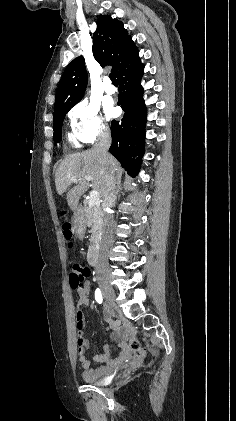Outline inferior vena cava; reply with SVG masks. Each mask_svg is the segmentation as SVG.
<instances>
[{
  "mask_svg": "<svg viewBox=\"0 0 236 421\" xmlns=\"http://www.w3.org/2000/svg\"><path fill=\"white\" fill-rule=\"evenodd\" d=\"M111 144V132L109 128H106V126H99V132L97 136V142L94 144V148L100 152L103 160H106L108 156V148ZM115 172H113L107 186L106 190L104 192L103 196V206L105 208H112L115 204L116 200V194H115ZM104 223H105V229H104V235L103 239L101 241V247H100V253H99V259H98V265L96 267L97 273H105L107 271L108 267V259L105 255L106 249L110 247L113 239V217L111 213H107V211H104Z\"/></svg>",
  "mask_w": 236,
  "mask_h": 421,
  "instance_id": "inferior-vena-cava-1",
  "label": "inferior vena cava"
}]
</instances>
